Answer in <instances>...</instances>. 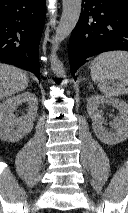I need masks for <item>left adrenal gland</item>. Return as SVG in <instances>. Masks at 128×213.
<instances>
[{"mask_svg":"<svg viewBox=\"0 0 128 213\" xmlns=\"http://www.w3.org/2000/svg\"><path fill=\"white\" fill-rule=\"evenodd\" d=\"M90 89H92L93 88V85L90 83V87H89Z\"/></svg>","mask_w":128,"mask_h":213,"instance_id":"left-adrenal-gland-1","label":"left adrenal gland"}]
</instances>
